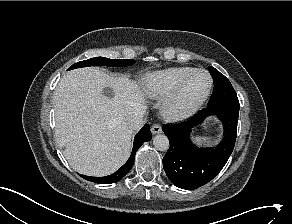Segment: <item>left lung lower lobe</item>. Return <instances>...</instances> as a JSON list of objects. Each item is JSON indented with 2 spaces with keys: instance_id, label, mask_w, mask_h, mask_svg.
I'll return each mask as SVG.
<instances>
[{
  "instance_id": "0a47b994",
  "label": "left lung lower lobe",
  "mask_w": 292,
  "mask_h": 224,
  "mask_svg": "<svg viewBox=\"0 0 292 224\" xmlns=\"http://www.w3.org/2000/svg\"><path fill=\"white\" fill-rule=\"evenodd\" d=\"M239 100L222 99L208 105L194 117L182 123L163 126L170 148L163 158V167L170 181L177 187L191 190L211 181L224 167L236 140ZM216 115L223 124V140L217 148H198L189 134L209 115Z\"/></svg>"
}]
</instances>
